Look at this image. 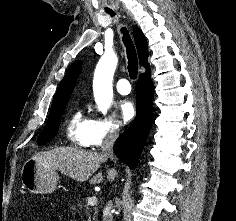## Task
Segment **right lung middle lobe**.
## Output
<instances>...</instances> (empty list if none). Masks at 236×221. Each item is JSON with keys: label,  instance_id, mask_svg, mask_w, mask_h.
I'll use <instances>...</instances> for the list:
<instances>
[{"label": "right lung middle lobe", "instance_id": "dd1d6c3e", "mask_svg": "<svg viewBox=\"0 0 236 221\" xmlns=\"http://www.w3.org/2000/svg\"><path fill=\"white\" fill-rule=\"evenodd\" d=\"M66 104L67 102L51 108L47 124L37 139V143L39 145L45 144L56 136L60 125L61 116L65 110Z\"/></svg>", "mask_w": 236, "mask_h": 221}]
</instances>
